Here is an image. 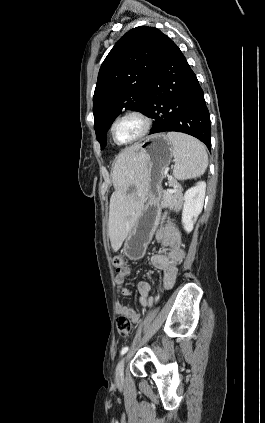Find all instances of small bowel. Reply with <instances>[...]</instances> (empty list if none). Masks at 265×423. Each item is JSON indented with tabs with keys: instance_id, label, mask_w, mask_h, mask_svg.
Listing matches in <instances>:
<instances>
[{
	"instance_id": "small-bowel-1",
	"label": "small bowel",
	"mask_w": 265,
	"mask_h": 423,
	"mask_svg": "<svg viewBox=\"0 0 265 423\" xmlns=\"http://www.w3.org/2000/svg\"><path fill=\"white\" fill-rule=\"evenodd\" d=\"M154 238L167 251L153 255L151 264L155 269L162 271V286L165 290H169L175 282L178 272L177 266L182 263L185 256L181 236L176 227L172 223H168L156 231ZM130 272V268L125 265L116 269L115 272V281L119 287V293L124 297L131 295V290L124 285V280ZM137 291L139 303L144 307L152 306L159 299V296L154 294L155 291L147 281H140L137 285ZM115 311L118 315H126L133 324L139 323L141 319L140 314L133 307L120 302L115 305Z\"/></svg>"
}]
</instances>
